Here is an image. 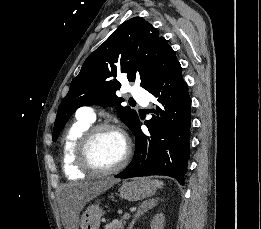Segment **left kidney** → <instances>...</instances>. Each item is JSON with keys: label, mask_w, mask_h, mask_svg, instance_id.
I'll return each instance as SVG.
<instances>
[{"label": "left kidney", "mask_w": 261, "mask_h": 229, "mask_svg": "<svg viewBox=\"0 0 261 229\" xmlns=\"http://www.w3.org/2000/svg\"><path fill=\"white\" fill-rule=\"evenodd\" d=\"M165 217L163 213H158L152 219V223H150L151 229H164Z\"/></svg>", "instance_id": "left-kidney-1"}]
</instances>
